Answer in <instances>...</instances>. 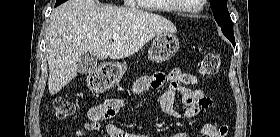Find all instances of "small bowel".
Listing matches in <instances>:
<instances>
[{
    "label": "small bowel",
    "mask_w": 280,
    "mask_h": 137,
    "mask_svg": "<svg viewBox=\"0 0 280 137\" xmlns=\"http://www.w3.org/2000/svg\"><path fill=\"white\" fill-rule=\"evenodd\" d=\"M166 84L164 90L159 93L149 104V106L159 105L161 110L174 118H194L202 110L213 106V100L207 97L203 91L197 87V77L192 73H184L179 68H173L169 72L158 71L152 76L141 77L132 86L133 93H141L146 90H157ZM180 95L183 106H175V98ZM123 107V101L119 98H112L104 103L98 104L88 113V120L75 133V137H84L86 132L98 130L104 120H112L119 114ZM214 127L206 124L203 130ZM107 137H136L119 128L115 123L106 126ZM173 137H186L185 133L179 132Z\"/></svg>",
    "instance_id": "1"
}]
</instances>
